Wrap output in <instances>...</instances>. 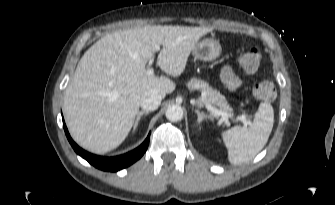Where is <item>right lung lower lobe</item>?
Masks as SVG:
<instances>
[{
  "mask_svg": "<svg viewBox=\"0 0 335 205\" xmlns=\"http://www.w3.org/2000/svg\"><path fill=\"white\" fill-rule=\"evenodd\" d=\"M63 128L67 136V139L70 142L73 149L75 150V152L81 157H83L85 160H87L90 164L95 166L96 168L104 171L115 172L130 166L131 164H133L135 161H137L142 157V155L146 152L149 144L150 134L138 148L134 149L131 152L116 157H110V158L101 157L81 149L70 137L64 120H63Z\"/></svg>",
  "mask_w": 335,
  "mask_h": 205,
  "instance_id": "obj_1",
  "label": "right lung lower lobe"
}]
</instances>
